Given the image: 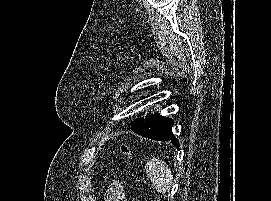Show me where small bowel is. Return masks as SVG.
Masks as SVG:
<instances>
[{
  "instance_id": "obj_1",
  "label": "small bowel",
  "mask_w": 271,
  "mask_h": 201,
  "mask_svg": "<svg viewBox=\"0 0 271 201\" xmlns=\"http://www.w3.org/2000/svg\"><path fill=\"white\" fill-rule=\"evenodd\" d=\"M105 201H126L122 186L119 182H113L105 191Z\"/></svg>"
}]
</instances>
